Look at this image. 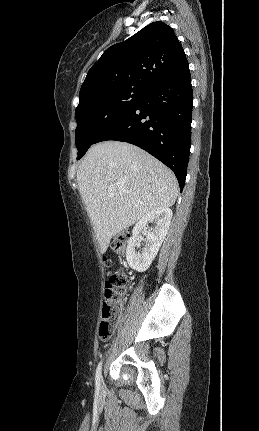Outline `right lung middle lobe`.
I'll list each match as a JSON object with an SVG mask.
<instances>
[{
    "mask_svg": "<svg viewBox=\"0 0 259 431\" xmlns=\"http://www.w3.org/2000/svg\"><path fill=\"white\" fill-rule=\"evenodd\" d=\"M145 91L137 87H122L95 94L79 103L75 111L77 160L141 99Z\"/></svg>",
    "mask_w": 259,
    "mask_h": 431,
    "instance_id": "obj_1",
    "label": "right lung middle lobe"
}]
</instances>
